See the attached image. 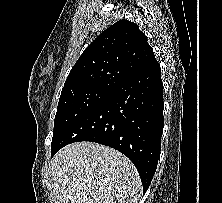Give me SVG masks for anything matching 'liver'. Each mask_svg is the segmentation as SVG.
I'll return each instance as SVG.
<instances>
[{
    "mask_svg": "<svg viewBox=\"0 0 222 203\" xmlns=\"http://www.w3.org/2000/svg\"><path fill=\"white\" fill-rule=\"evenodd\" d=\"M55 203H138L142 183L137 169L113 148L77 142L51 162Z\"/></svg>",
    "mask_w": 222,
    "mask_h": 203,
    "instance_id": "liver-1",
    "label": "liver"
}]
</instances>
